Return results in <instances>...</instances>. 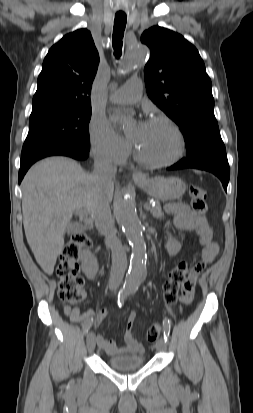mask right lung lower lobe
Segmentation results:
<instances>
[{
    "label": "right lung lower lobe",
    "mask_w": 253,
    "mask_h": 413,
    "mask_svg": "<svg viewBox=\"0 0 253 413\" xmlns=\"http://www.w3.org/2000/svg\"><path fill=\"white\" fill-rule=\"evenodd\" d=\"M53 155H63L72 157L77 160H85L89 155V150L83 148H76V147H60L54 148L50 150H45L38 153L28 154L25 156H21V165L19 170V183L22 181L25 173L29 169V167L35 163L36 161Z\"/></svg>",
    "instance_id": "1"
}]
</instances>
